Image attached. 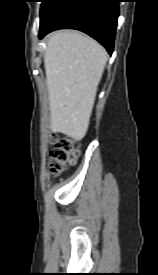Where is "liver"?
<instances>
[{
    "instance_id": "6515ba94",
    "label": "liver",
    "mask_w": 158,
    "mask_h": 275,
    "mask_svg": "<svg viewBox=\"0 0 158 275\" xmlns=\"http://www.w3.org/2000/svg\"><path fill=\"white\" fill-rule=\"evenodd\" d=\"M46 43L51 130L81 140L89 127L108 54L97 41L76 31L55 32Z\"/></svg>"
}]
</instances>
